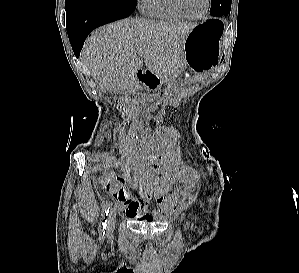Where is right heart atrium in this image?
I'll return each instance as SVG.
<instances>
[{
  "label": "right heart atrium",
  "instance_id": "obj_1",
  "mask_svg": "<svg viewBox=\"0 0 299 273\" xmlns=\"http://www.w3.org/2000/svg\"><path fill=\"white\" fill-rule=\"evenodd\" d=\"M144 0H139L140 3H142Z\"/></svg>",
  "mask_w": 299,
  "mask_h": 273
}]
</instances>
